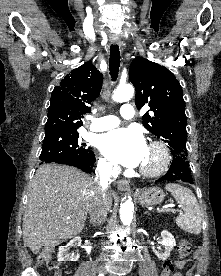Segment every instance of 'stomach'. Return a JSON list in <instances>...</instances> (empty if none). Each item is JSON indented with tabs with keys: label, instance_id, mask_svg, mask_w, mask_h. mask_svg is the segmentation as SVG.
I'll return each instance as SVG.
<instances>
[{
	"label": "stomach",
	"instance_id": "1",
	"mask_svg": "<svg viewBox=\"0 0 221 276\" xmlns=\"http://www.w3.org/2000/svg\"><path fill=\"white\" fill-rule=\"evenodd\" d=\"M165 194L159 187H150L138 192L137 199L142 206L158 205L164 200Z\"/></svg>",
	"mask_w": 221,
	"mask_h": 276
}]
</instances>
